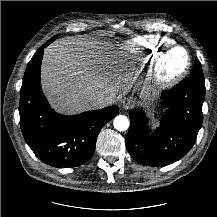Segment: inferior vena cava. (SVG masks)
Returning <instances> with one entry per match:
<instances>
[{
  "mask_svg": "<svg viewBox=\"0 0 217 217\" xmlns=\"http://www.w3.org/2000/svg\"><path fill=\"white\" fill-rule=\"evenodd\" d=\"M90 109H101L114 103V99L103 94H93L86 99Z\"/></svg>",
  "mask_w": 217,
  "mask_h": 217,
  "instance_id": "inferior-vena-cava-1",
  "label": "inferior vena cava"
}]
</instances>
